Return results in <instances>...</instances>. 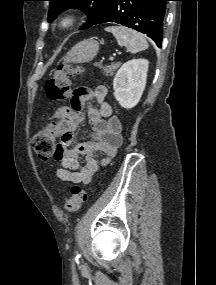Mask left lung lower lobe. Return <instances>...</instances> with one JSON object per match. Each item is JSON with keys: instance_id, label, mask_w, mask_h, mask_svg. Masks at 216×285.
<instances>
[{"instance_id": "1", "label": "left lung lower lobe", "mask_w": 216, "mask_h": 285, "mask_svg": "<svg viewBox=\"0 0 216 285\" xmlns=\"http://www.w3.org/2000/svg\"><path fill=\"white\" fill-rule=\"evenodd\" d=\"M166 1L169 0H112L94 23L114 22L147 34L160 48Z\"/></svg>"}]
</instances>
